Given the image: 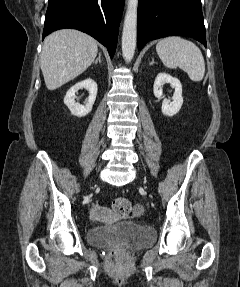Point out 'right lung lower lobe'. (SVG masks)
I'll return each instance as SVG.
<instances>
[{
  "label": "right lung lower lobe",
  "instance_id": "obj_1",
  "mask_svg": "<svg viewBox=\"0 0 240 287\" xmlns=\"http://www.w3.org/2000/svg\"><path fill=\"white\" fill-rule=\"evenodd\" d=\"M123 8L124 0H49L42 38L58 29H77L107 47L112 58Z\"/></svg>",
  "mask_w": 240,
  "mask_h": 287
}]
</instances>
